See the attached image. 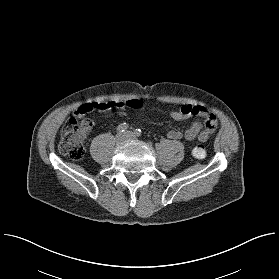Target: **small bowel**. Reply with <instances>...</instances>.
<instances>
[{
    "mask_svg": "<svg viewBox=\"0 0 279 279\" xmlns=\"http://www.w3.org/2000/svg\"><path fill=\"white\" fill-rule=\"evenodd\" d=\"M162 102L165 101L162 100ZM124 105L125 102L114 100L93 102L78 107L74 114L80 116L92 110L107 111L115 107H122ZM193 115L201 117L204 121V124L202 125V123L199 121H193L189 128H187L184 132L178 129H171L167 133L168 138L171 140H194L197 138L200 141H206L209 139L218 125V120L216 116L207 108L203 106L184 105L178 110L170 111L171 118L176 121L187 119ZM203 136H205V139L202 138Z\"/></svg>",
    "mask_w": 279,
    "mask_h": 279,
    "instance_id": "1",
    "label": "small bowel"
}]
</instances>
